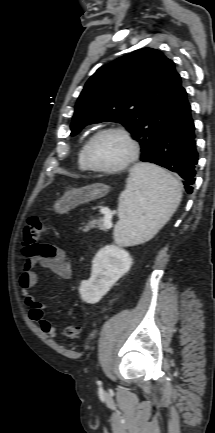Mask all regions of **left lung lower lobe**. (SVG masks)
Returning <instances> with one entry per match:
<instances>
[{
    "instance_id": "1",
    "label": "left lung lower lobe",
    "mask_w": 215,
    "mask_h": 433,
    "mask_svg": "<svg viewBox=\"0 0 215 433\" xmlns=\"http://www.w3.org/2000/svg\"><path fill=\"white\" fill-rule=\"evenodd\" d=\"M149 162L176 173L186 192H193L198 151L191 107L184 88L174 100L168 121L158 138L155 156Z\"/></svg>"
}]
</instances>
